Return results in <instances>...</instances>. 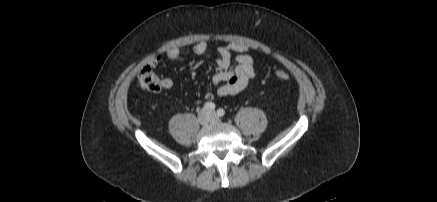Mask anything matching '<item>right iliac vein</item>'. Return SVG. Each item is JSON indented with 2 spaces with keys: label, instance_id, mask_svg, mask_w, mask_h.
Returning a JSON list of instances; mask_svg holds the SVG:
<instances>
[{
  "label": "right iliac vein",
  "instance_id": "1",
  "mask_svg": "<svg viewBox=\"0 0 437 202\" xmlns=\"http://www.w3.org/2000/svg\"><path fill=\"white\" fill-rule=\"evenodd\" d=\"M211 117L207 110L203 109L198 114V121L202 125H206L210 122Z\"/></svg>",
  "mask_w": 437,
  "mask_h": 202
}]
</instances>
